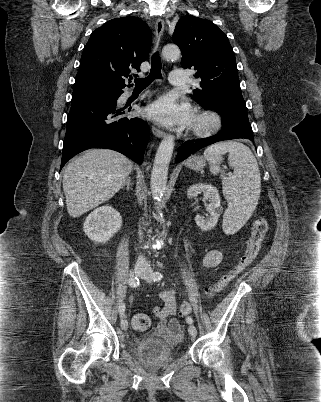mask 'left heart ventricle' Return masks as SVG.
<instances>
[{
	"mask_svg": "<svg viewBox=\"0 0 321 402\" xmlns=\"http://www.w3.org/2000/svg\"><path fill=\"white\" fill-rule=\"evenodd\" d=\"M190 123H191V124H195V125H203V124H204L203 121H201V120H199V119H195V118H192V120H191Z\"/></svg>",
	"mask_w": 321,
	"mask_h": 402,
	"instance_id": "left-heart-ventricle-1",
	"label": "left heart ventricle"
}]
</instances>
